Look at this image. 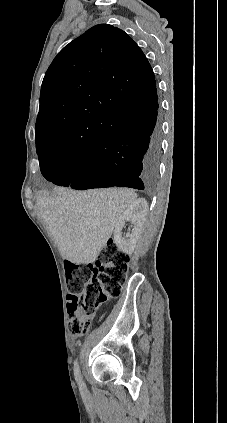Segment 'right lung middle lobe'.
Masks as SVG:
<instances>
[{"instance_id":"dd1d6c3e","label":"right lung middle lobe","mask_w":227,"mask_h":423,"mask_svg":"<svg viewBox=\"0 0 227 423\" xmlns=\"http://www.w3.org/2000/svg\"><path fill=\"white\" fill-rule=\"evenodd\" d=\"M36 149L40 165L48 163L61 166L72 164L76 159L85 156L88 151L69 147L57 140L36 141Z\"/></svg>"}]
</instances>
